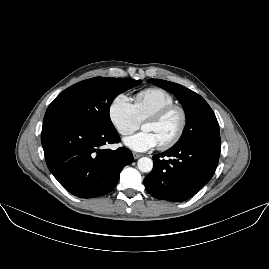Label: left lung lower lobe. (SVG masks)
<instances>
[{
    "label": "left lung lower lobe",
    "instance_id": "obj_1",
    "mask_svg": "<svg viewBox=\"0 0 269 269\" xmlns=\"http://www.w3.org/2000/svg\"><path fill=\"white\" fill-rule=\"evenodd\" d=\"M219 155L220 147L212 144L174 145L152 157L154 166L144 179L145 188L157 199L185 201L212 178Z\"/></svg>",
    "mask_w": 269,
    "mask_h": 269
}]
</instances>
